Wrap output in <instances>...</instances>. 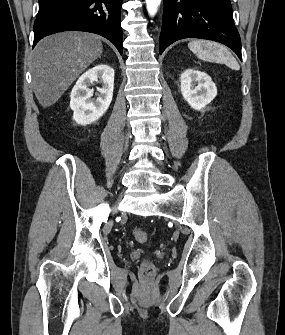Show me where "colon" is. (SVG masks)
I'll return each mask as SVG.
<instances>
[{"instance_id": "obj_1", "label": "colon", "mask_w": 285, "mask_h": 335, "mask_svg": "<svg viewBox=\"0 0 285 335\" xmlns=\"http://www.w3.org/2000/svg\"><path fill=\"white\" fill-rule=\"evenodd\" d=\"M134 238L140 244H146L149 240L148 234L141 229H136L134 231ZM154 271H155V267L150 261L143 262L141 266V273L143 276L149 277L153 275Z\"/></svg>"}]
</instances>
